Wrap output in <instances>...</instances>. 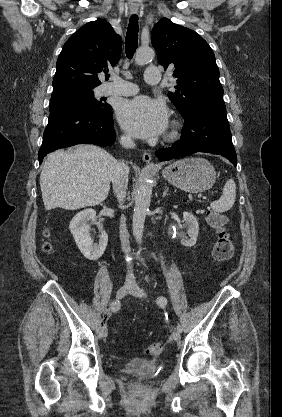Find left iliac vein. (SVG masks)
<instances>
[{
  "mask_svg": "<svg viewBox=\"0 0 282 417\" xmlns=\"http://www.w3.org/2000/svg\"><path fill=\"white\" fill-rule=\"evenodd\" d=\"M129 293L133 296H136V297H141V298L146 297V293L137 284H134L132 286ZM172 337L175 341H179L180 338H181L180 332L174 331L173 334H172Z\"/></svg>",
  "mask_w": 282,
  "mask_h": 417,
  "instance_id": "1",
  "label": "left iliac vein"
}]
</instances>
